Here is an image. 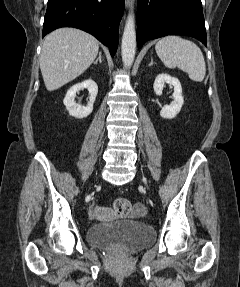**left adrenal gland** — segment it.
Listing matches in <instances>:
<instances>
[{"label": "left adrenal gland", "instance_id": "a2214340", "mask_svg": "<svg viewBox=\"0 0 240 287\" xmlns=\"http://www.w3.org/2000/svg\"><path fill=\"white\" fill-rule=\"evenodd\" d=\"M154 62H153V58H151V62L149 63V66L153 65Z\"/></svg>", "mask_w": 240, "mask_h": 287}]
</instances>
